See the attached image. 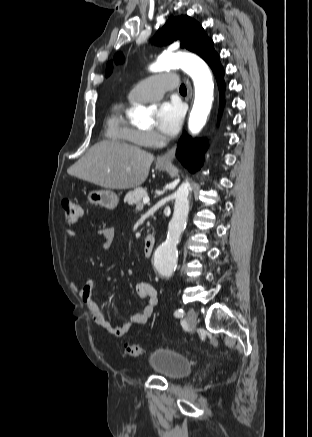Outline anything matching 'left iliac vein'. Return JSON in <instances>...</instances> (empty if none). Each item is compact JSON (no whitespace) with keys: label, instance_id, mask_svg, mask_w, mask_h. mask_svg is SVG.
<instances>
[{"label":"left iliac vein","instance_id":"4c4485c4","mask_svg":"<svg viewBox=\"0 0 312 437\" xmlns=\"http://www.w3.org/2000/svg\"><path fill=\"white\" fill-rule=\"evenodd\" d=\"M186 323L189 329L194 330L197 326V315L193 309H189L186 314Z\"/></svg>","mask_w":312,"mask_h":437}]
</instances>
